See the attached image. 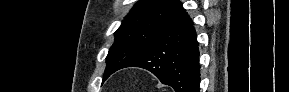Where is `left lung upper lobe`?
Here are the masks:
<instances>
[{"label": "left lung upper lobe", "instance_id": "obj_1", "mask_svg": "<svg viewBox=\"0 0 289 92\" xmlns=\"http://www.w3.org/2000/svg\"><path fill=\"white\" fill-rule=\"evenodd\" d=\"M186 10L178 0H140L115 31V41L106 57L103 81L143 52Z\"/></svg>", "mask_w": 289, "mask_h": 92}]
</instances>
